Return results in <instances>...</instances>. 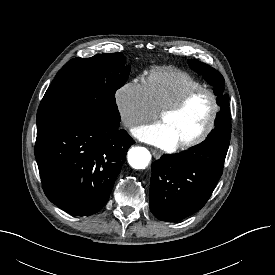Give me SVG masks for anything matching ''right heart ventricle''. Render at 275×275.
<instances>
[{
    "mask_svg": "<svg viewBox=\"0 0 275 275\" xmlns=\"http://www.w3.org/2000/svg\"><path fill=\"white\" fill-rule=\"evenodd\" d=\"M143 84L155 111L172 104L187 91L203 87L201 81L191 74L174 68L151 70Z\"/></svg>",
    "mask_w": 275,
    "mask_h": 275,
    "instance_id": "right-heart-ventricle-1",
    "label": "right heart ventricle"
}]
</instances>
